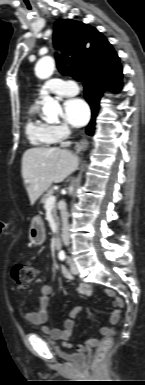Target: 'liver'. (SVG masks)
Instances as JSON below:
<instances>
[{"label":"liver","instance_id":"obj_1","mask_svg":"<svg viewBox=\"0 0 145 385\" xmlns=\"http://www.w3.org/2000/svg\"><path fill=\"white\" fill-rule=\"evenodd\" d=\"M79 158L66 149L30 148L22 157V177L27 184L26 190L33 205L51 186L60 183L74 172Z\"/></svg>","mask_w":145,"mask_h":385}]
</instances>
